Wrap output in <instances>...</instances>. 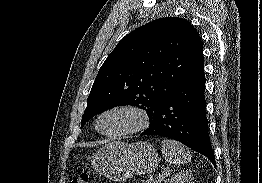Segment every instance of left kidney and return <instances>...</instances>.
<instances>
[{"mask_svg": "<svg viewBox=\"0 0 262 183\" xmlns=\"http://www.w3.org/2000/svg\"><path fill=\"white\" fill-rule=\"evenodd\" d=\"M193 174L191 170H183L174 174L167 183H194Z\"/></svg>", "mask_w": 262, "mask_h": 183, "instance_id": "obj_1", "label": "left kidney"}]
</instances>
